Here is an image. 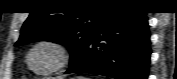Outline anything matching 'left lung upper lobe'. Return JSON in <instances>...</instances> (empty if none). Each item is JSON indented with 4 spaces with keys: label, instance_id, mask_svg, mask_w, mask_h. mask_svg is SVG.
<instances>
[{
    "label": "left lung upper lobe",
    "instance_id": "1",
    "mask_svg": "<svg viewBox=\"0 0 177 79\" xmlns=\"http://www.w3.org/2000/svg\"><path fill=\"white\" fill-rule=\"evenodd\" d=\"M55 4L59 1H46ZM117 0L83 1V8L54 13L44 6L30 16L22 26L21 36L15 46L36 41H52L65 45L71 54L72 64L98 26L104 10L118 3Z\"/></svg>",
    "mask_w": 177,
    "mask_h": 79
}]
</instances>
